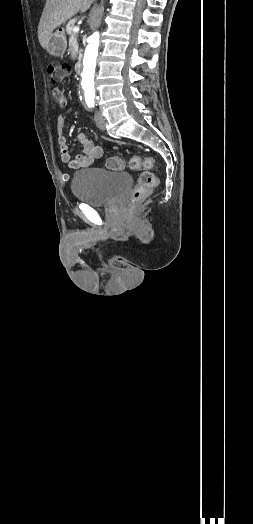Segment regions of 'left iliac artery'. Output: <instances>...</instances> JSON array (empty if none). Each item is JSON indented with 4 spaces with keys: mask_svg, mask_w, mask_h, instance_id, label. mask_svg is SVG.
I'll list each match as a JSON object with an SVG mask.
<instances>
[{
    "mask_svg": "<svg viewBox=\"0 0 253 524\" xmlns=\"http://www.w3.org/2000/svg\"><path fill=\"white\" fill-rule=\"evenodd\" d=\"M89 106H90V107H93V106H94V103L89 104Z\"/></svg>",
    "mask_w": 253,
    "mask_h": 524,
    "instance_id": "1",
    "label": "left iliac artery"
}]
</instances>
